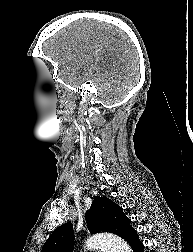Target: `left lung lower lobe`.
Returning <instances> with one entry per match:
<instances>
[{"mask_svg": "<svg viewBox=\"0 0 193 252\" xmlns=\"http://www.w3.org/2000/svg\"><path fill=\"white\" fill-rule=\"evenodd\" d=\"M126 241L130 244L131 248L133 249V252H144L143 244L139 240L135 229L130 232Z\"/></svg>", "mask_w": 193, "mask_h": 252, "instance_id": "1", "label": "left lung lower lobe"}]
</instances>
